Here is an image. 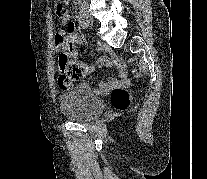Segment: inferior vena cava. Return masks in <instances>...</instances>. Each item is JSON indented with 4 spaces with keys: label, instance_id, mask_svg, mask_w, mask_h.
Here are the masks:
<instances>
[{
    "label": "inferior vena cava",
    "instance_id": "1",
    "mask_svg": "<svg viewBox=\"0 0 207 179\" xmlns=\"http://www.w3.org/2000/svg\"><path fill=\"white\" fill-rule=\"evenodd\" d=\"M86 1H87V0H78V2H84V3H85Z\"/></svg>",
    "mask_w": 207,
    "mask_h": 179
}]
</instances>
